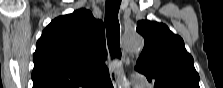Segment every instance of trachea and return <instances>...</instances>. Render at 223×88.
Segmentation results:
<instances>
[{"instance_id": "1", "label": "trachea", "mask_w": 223, "mask_h": 88, "mask_svg": "<svg viewBox=\"0 0 223 88\" xmlns=\"http://www.w3.org/2000/svg\"><path fill=\"white\" fill-rule=\"evenodd\" d=\"M121 0H106L105 25L107 44L112 59L121 58L118 11Z\"/></svg>"}]
</instances>
